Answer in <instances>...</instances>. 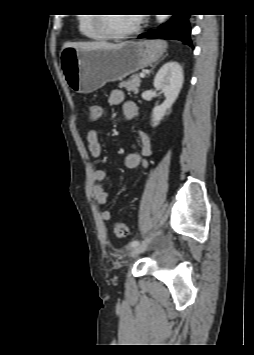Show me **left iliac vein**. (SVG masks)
<instances>
[{"label": "left iliac vein", "mask_w": 254, "mask_h": 355, "mask_svg": "<svg viewBox=\"0 0 254 355\" xmlns=\"http://www.w3.org/2000/svg\"><path fill=\"white\" fill-rule=\"evenodd\" d=\"M153 240V237L149 238V239H146L145 241H143L141 244L137 245L136 247H134L132 249V254L134 256H137L141 253H143L147 248L148 246L150 245V243L152 242Z\"/></svg>", "instance_id": "left-iliac-vein-1"}]
</instances>
